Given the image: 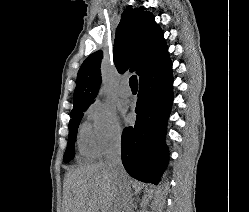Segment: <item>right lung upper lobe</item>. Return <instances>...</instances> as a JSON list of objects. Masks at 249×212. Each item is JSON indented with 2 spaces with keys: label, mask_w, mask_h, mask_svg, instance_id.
<instances>
[{
  "label": "right lung upper lobe",
  "mask_w": 249,
  "mask_h": 212,
  "mask_svg": "<svg viewBox=\"0 0 249 212\" xmlns=\"http://www.w3.org/2000/svg\"><path fill=\"white\" fill-rule=\"evenodd\" d=\"M168 56L162 29L144 7L124 10L116 30L113 60L120 73L128 68L139 77ZM102 51L91 54L77 75L73 103L75 109L89 107L101 84Z\"/></svg>",
  "instance_id": "1"
}]
</instances>
